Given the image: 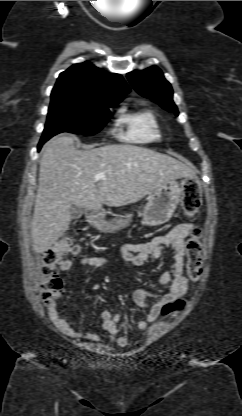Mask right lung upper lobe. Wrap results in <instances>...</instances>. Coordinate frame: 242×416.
<instances>
[{
    "label": "right lung upper lobe",
    "instance_id": "right-lung-upper-lobe-1",
    "mask_svg": "<svg viewBox=\"0 0 242 416\" xmlns=\"http://www.w3.org/2000/svg\"><path fill=\"white\" fill-rule=\"evenodd\" d=\"M130 88L119 74H108L89 62L75 64L62 72L51 99L120 102Z\"/></svg>",
    "mask_w": 242,
    "mask_h": 416
}]
</instances>
